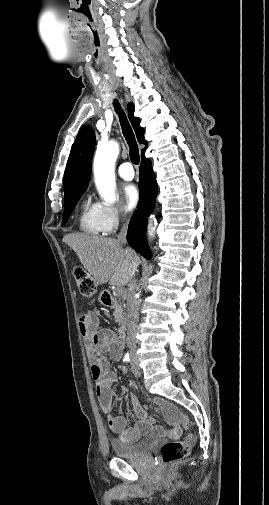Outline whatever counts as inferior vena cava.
Here are the masks:
<instances>
[{
  "mask_svg": "<svg viewBox=\"0 0 269 505\" xmlns=\"http://www.w3.org/2000/svg\"><path fill=\"white\" fill-rule=\"evenodd\" d=\"M128 223L125 222L122 225V228L118 234L117 241L121 245L126 244V235H127ZM135 274V272H134ZM136 284L135 280H131L128 284V293H127V346L131 352L136 350V337L135 332L137 328V323L139 319V303L136 298Z\"/></svg>",
  "mask_w": 269,
  "mask_h": 505,
  "instance_id": "1",
  "label": "inferior vena cava"
}]
</instances>
